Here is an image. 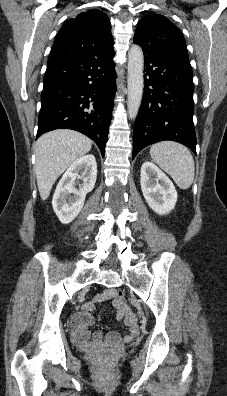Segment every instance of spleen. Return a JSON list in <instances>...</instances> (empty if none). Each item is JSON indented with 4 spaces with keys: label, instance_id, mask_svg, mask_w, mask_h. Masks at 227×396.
I'll return each instance as SVG.
<instances>
[{
    "label": "spleen",
    "instance_id": "obj_1",
    "mask_svg": "<svg viewBox=\"0 0 227 396\" xmlns=\"http://www.w3.org/2000/svg\"><path fill=\"white\" fill-rule=\"evenodd\" d=\"M153 161L167 172L181 189H187L194 180L195 166L190 151L182 144L164 141L150 148Z\"/></svg>",
    "mask_w": 227,
    "mask_h": 396
}]
</instances>
